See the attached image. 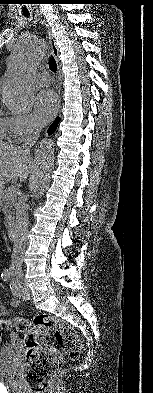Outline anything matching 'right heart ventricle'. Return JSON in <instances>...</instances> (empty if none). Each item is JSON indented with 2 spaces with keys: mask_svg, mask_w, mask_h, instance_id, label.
I'll return each mask as SVG.
<instances>
[{
  "mask_svg": "<svg viewBox=\"0 0 153 393\" xmlns=\"http://www.w3.org/2000/svg\"><path fill=\"white\" fill-rule=\"evenodd\" d=\"M11 136L10 117L0 116V140L9 139Z\"/></svg>",
  "mask_w": 153,
  "mask_h": 393,
  "instance_id": "obj_1",
  "label": "right heart ventricle"
}]
</instances>
